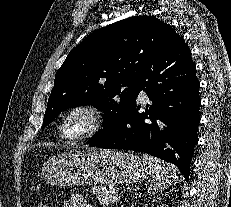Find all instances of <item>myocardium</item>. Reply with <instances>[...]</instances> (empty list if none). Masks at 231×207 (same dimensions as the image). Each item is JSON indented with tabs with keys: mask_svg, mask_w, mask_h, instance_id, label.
Here are the masks:
<instances>
[{
	"mask_svg": "<svg viewBox=\"0 0 231 207\" xmlns=\"http://www.w3.org/2000/svg\"><path fill=\"white\" fill-rule=\"evenodd\" d=\"M82 113L84 114L88 120L89 125L85 132L77 136H69L65 131V125L67 120L74 114ZM104 126V116L102 112L91 104H77L69 109H67L60 119L59 124V133L60 136L69 142H80L91 138L96 135Z\"/></svg>",
	"mask_w": 231,
	"mask_h": 207,
	"instance_id": "obj_1",
	"label": "myocardium"
}]
</instances>
